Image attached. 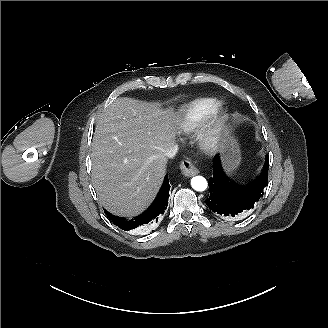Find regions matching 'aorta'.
Instances as JSON below:
<instances>
[{
    "label": "aorta",
    "mask_w": 328,
    "mask_h": 328,
    "mask_svg": "<svg viewBox=\"0 0 328 328\" xmlns=\"http://www.w3.org/2000/svg\"><path fill=\"white\" fill-rule=\"evenodd\" d=\"M191 186L198 192L205 191L208 187L207 180L202 176H195L191 179Z\"/></svg>",
    "instance_id": "obj_1"
}]
</instances>
